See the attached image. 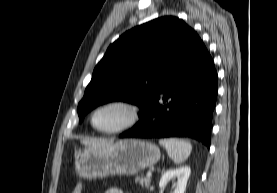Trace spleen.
Segmentation results:
<instances>
[{
	"mask_svg": "<svg viewBox=\"0 0 277 193\" xmlns=\"http://www.w3.org/2000/svg\"><path fill=\"white\" fill-rule=\"evenodd\" d=\"M159 144L165 147L169 157L177 164L184 162L192 150V145L183 139H161Z\"/></svg>",
	"mask_w": 277,
	"mask_h": 193,
	"instance_id": "obj_1",
	"label": "spleen"
}]
</instances>
